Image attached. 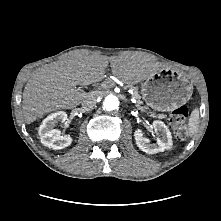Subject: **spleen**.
Wrapping results in <instances>:
<instances>
[{
    "mask_svg": "<svg viewBox=\"0 0 221 221\" xmlns=\"http://www.w3.org/2000/svg\"><path fill=\"white\" fill-rule=\"evenodd\" d=\"M198 122H199V110L194 109L191 113L188 123L189 136H193L197 132Z\"/></svg>",
    "mask_w": 221,
    "mask_h": 221,
    "instance_id": "obj_1",
    "label": "spleen"
}]
</instances>
